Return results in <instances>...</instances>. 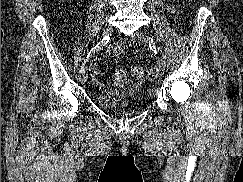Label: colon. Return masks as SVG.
<instances>
[{
	"label": "colon",
	"instance_id": "5ec220e1",
	"mask_svg": "<svg viewBox=\"0 0 243 182\" xmlns=\"http://www.w3.org/2000/svg\"><path fill=\"white\" fill-rule=\"evenodd\" d=\"M131 75L136 79H143L145 76V70L140 66H135L131 69Z\"/></svg>",
	"mask_w": 243,
	"mask_h": 182
}]
</instances>
